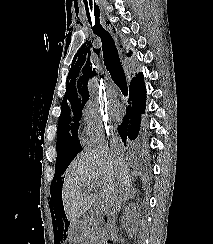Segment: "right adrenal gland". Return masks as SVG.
<instances>
[{
    "mask_svg": "<svg viewBox=\"0 0 213 244\" xmlns=\"http://www.w3.org/2000/svg\"><path fill=\"white\" fill-rule=\"evenodd\" d=\"M135 196H136L135 189L132 188V187H127V188L124 189V192H123V195H122V202H126L127 200H129L130 198H134ZM120 208H121V205H120L119 209Z\"/></svg>",
    "mask_w": 213,
    "mask_h": 244,
    "instance_id": "2a0ac1e0",
    "label": "right adrenal gland"
}]
</instances>
